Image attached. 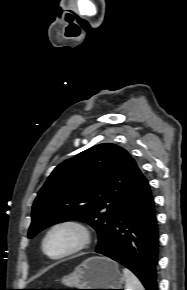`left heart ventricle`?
I'll return each instance as SVG.
<instances>
[{
  "mask_svg": "<svg viewBox=\"0 0 187 290\" xmlns=\"http://www.w3.org/2000/svg\"><path fill=\"white\" fill-rule=\"evenodd\" d=\"M76 241L75 232L69 229H59L49 237L46 248L49 254L58 255L70 249Z\"/></svg>",
  "mask_w": 187,
  "mask_h": 290,
  "instance_id": "1",
  "label": "left heart ventricle"
}]
</instances>
